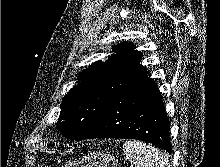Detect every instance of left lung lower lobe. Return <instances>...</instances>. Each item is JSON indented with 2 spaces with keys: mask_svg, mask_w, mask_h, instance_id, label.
<instances>
[{
  "mask_svg": "<svg viewBox=\"0 0 220 167\" xmlns=\"http://www.w3.org/2000/svg\"><path fill=\"white\" fill-rule=\"evenodd\" d=\"M169 125L157 85L144 76L129 84L113 99L83 139H137L171 153Z\"/></svg>",
  "mask_w": 220,
  "mask_h": 167,
  "instance_id": "1",
  "label": "left lung lower lobe"
}]
</instances>
